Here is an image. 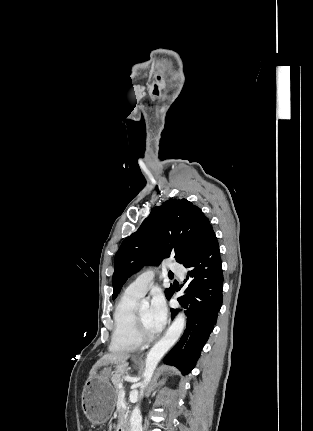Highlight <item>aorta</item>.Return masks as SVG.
Masks as SVG:
<instances>
[{"label":"aorta","instance_id":"762f6f07","mask_svg":"<svg viewBox=\"0 0 313 431\" xmlns=\"http://www.w3.org/2000/svg\"><path fill=\"white\" fill-rule=\"evenodd\" d=\"M186 324L184 313H179L165 335L150 349L145 361L144 380L140 384V397H143L144 390L150 382L156 366L165 353L178 341ZM130 431L142 430V415L139 405H136L130 417Z\"/></svg>","mask_w":313,"mask_h":431}]
</instances>
